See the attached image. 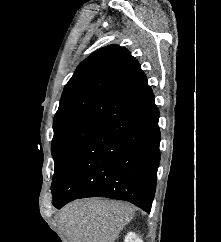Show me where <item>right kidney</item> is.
Listing matches in <instances>:
<instances>
[{"label":"right kidney","instance_id":"obj_1","mask_svg":"<svg viewBox=\"0 0 221 242\" xmlns=\"http://www.w3.org/2000/svg\"><path fill=\"white\" fill-rule=\"evenodd\" d=\"M124 242H137V236H136V234L133 233V232H129L125 236V241Z\"/></svg>","mask_w":221,"mask_h":242}]
</instances>
